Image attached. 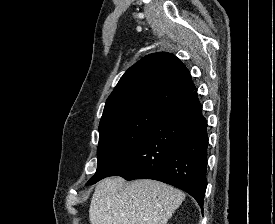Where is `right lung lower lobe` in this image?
I'll return each instance as SVG.
<instances>
[{
	"label": "right lung lower lobe",
	"mask_w": 275,
	"mask_h": 224,
	"mask_svg": "<svg viewBox=\"0 0 275 224\" xmlns=\"http://www.w3.org/2000/svg\"><path fill=\"white\" fill-rule=\"evenodd\" d=\"M207 121L196 91L167 109L144 140L109 176L154 179L193 196L200 207L206 191Z\"/></svg>",
	"instance_id": "98d812e1"
}]
</instances>
